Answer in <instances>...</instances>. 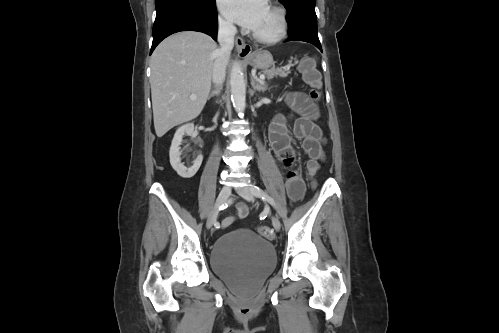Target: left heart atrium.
Masks as SVG:
<instances>
[{"instance_id": "39dd6f15", "label": "left heart atrium", "mask_w": 499, "mask_h": 333, "mask_svg": "<svg viewBox=\"0 0 499 333\" xmlns=\"http://www.w3.org/2000/svg\"><path fill=\"white\" fill-rule=\"evenodd\" d=\"M218 6L226 18L250 30L268 9L267 0H218Z\"/></svg>"}]
</instances>
